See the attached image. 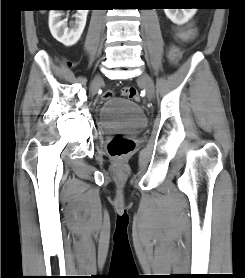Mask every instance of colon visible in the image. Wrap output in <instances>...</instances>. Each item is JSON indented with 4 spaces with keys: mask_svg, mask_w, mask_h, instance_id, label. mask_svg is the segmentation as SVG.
Instances as JSON below:
<instances>
[{
    "mask_svg": "<svg viewBox=\"0 0 245 278\" xmlns=\"http://www.w3.org/2000/svg\"><path fill=\"white\" fill-rule=\"evenodd\" d=\"M201 10L210 8L207 4H200L198 6ZM122 93L130 100L139 101L140 97L135 87H124ZM113 96L111 91H105L103 93L104 99H109ZM134 142L128 138L123 137L121 134H116L108 145V153L115 161H121L134 150Z\"/></svg>",
    "mask_w": 245,
    "mask_h": 278,
    "instance_id": "5ec220e1",
    "label": "colon"
}]
</instances>
